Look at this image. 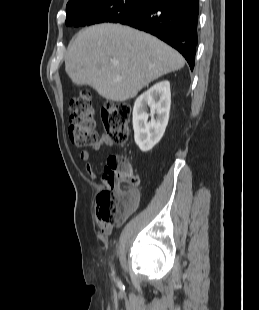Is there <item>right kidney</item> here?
<instances>
[{
	"label": "right kidney",
	"instance_id": "right-kidney-1",
	"mask_svg": "<svg viewBox=\"0 0 259 310\" xmlns=\"http://www.w3.org/2000/svg\"><path fill=\"white\" fill-rule=\"evenodd\" d=\"M170 105L169 81L156 83L136 99L133 108L134 139L142 152L150 151L163 137L169 120ZM148 107L150 114L147 113Z\"/></svg>",
	"mask_w": 259,
	"mask_h": 310
}]
</instances>
